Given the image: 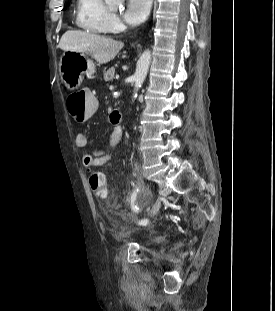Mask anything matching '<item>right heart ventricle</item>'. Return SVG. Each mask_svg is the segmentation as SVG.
<instances>
[{
    "label": "right heart ventricle",
    "mask_w": 275,
    "mask_h": 311,
    "mask_svg": "<svg viewBox=\"0 0 275 311\" xmlns=\"http://www.w3.org/2000/svg\"><path fill=\"white\" fill-rule=\"evenodd\" d=\"M111 12L105 0H77L75 7L76 26L90 34L105 35L109 32Z\"/></svg>",
    "instance_id": "1"
}]
</instances>
